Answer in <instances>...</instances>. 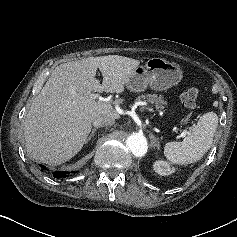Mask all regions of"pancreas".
<instances>
[{"label":"pancreas","instance_id":"cf45deb5","mask_svg":"<svg viewBox=\"0 0 237 237\" xmlns=\"http://www.w3.org/2000/svg\"><path fill=\"white\" fill-rule=\"evenodd\" d=\"M138 101L145 100L151 104L155 105V108L158 110H164V105H167V102L164 101L162 96H157V94H145L138 96Z\"/></svg>","mask_w":237,"mask_h":237}]
</instances>
